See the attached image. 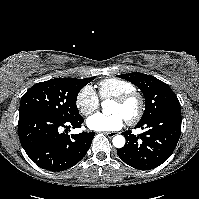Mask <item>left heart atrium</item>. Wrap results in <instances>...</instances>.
I'll return each instance as SVG.
<instances>
[{"label":"left heart atrium","mask_w":199,"mask_h":199,"mask_svg":"<svg viewBox=\"0 0 199 199\" xmlns=\"http://www.w3.org/2000/svg\"><path fill=\"white\" fill-rule=\"evenodd\" d=\"M125 123L126 118L121 113L110 115L98 113L87 120L88 127L96 131H116L121 129Z\"/></svg>","instance_id":"1"}]
</instances>
